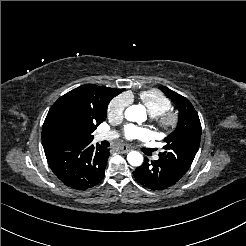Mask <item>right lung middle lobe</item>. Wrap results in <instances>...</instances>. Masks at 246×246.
Masks as SVG:
<instances>
[{"label":"right lung middle lobe","mask_w":246,"mask_h":246,"mask_svg":"<svg viewBox=\"0 0 246 246\" xmlns=\"http://www.w3.org/2000/svg\"><path fill=\"white\" fill-rule=\"evenodd\" d=\"M99 124L92 121L79 122L68 118L63 120L58 127L61 142H91L92 133Z\"/></svg>","instance_id":"dd1d6c3e"}]
</instances>
